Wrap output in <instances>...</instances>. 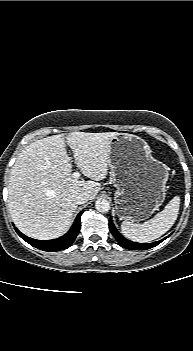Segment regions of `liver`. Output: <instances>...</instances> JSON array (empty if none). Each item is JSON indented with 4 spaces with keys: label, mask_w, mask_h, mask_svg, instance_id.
<instances>
[{
    "label": "liver",
    "mask_w": 193,
    "mask_h": 351,
    "mask_svg": "<svg viewBox=\"0 0 193 351\" xmlns=\"http://www.w3.org/2000/svg\"><path fill=\"white\" fill-rule=\"evenodd\" d=\"M118 134L72 132L26 146L12 167L8 186V209L16 227L39 240L65 234L78 207L76 196L86 192L92 200L100 191L99 181L108 173L110 141ZM67 145L77 168L91 180L72 177Z\"/></svg>",
    "instance_id": "liver-1"
}]
</instances>
